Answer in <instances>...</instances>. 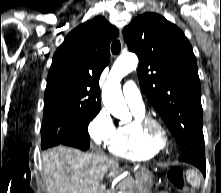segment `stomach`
Listing matches in <instances>:
<instances>
[{"mask_svg": "<svg viewBox=\"0 0 221 193\" xmlns=\"http://www.w3.org/2000/svg\"><path fill=\"white\" fill-rule=\"evenodd\" d=\"M136 177H141L142 182H153V179H158V174H150L149 167H142V169H137ZM140 191L136 190V193Z\"/></svg>", "mask_w": 221, "mask_h": 193, "instance_id": "stomach-1", "label": "stomach"}]
</instances>
